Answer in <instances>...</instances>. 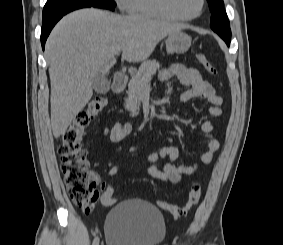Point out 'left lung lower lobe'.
I'll list each match as a JSON object with an SVG mask.
<instances>
[{
    "label": "left lung lower lobe",
    "instance_id": "obj_1",
    "mask_svg": "<svg viewBox=\"0 0 283 245\" xmlns=\"http://www.w3.org/2000/svg\"><path fill=\"white\" fill-rule=\"evenodd\" d=\"M226 44L229 46L230 45V41L226 42Z\"/></svg>",
    "mask_w": 283,
    "mask_h": 245
}]
</instances>
